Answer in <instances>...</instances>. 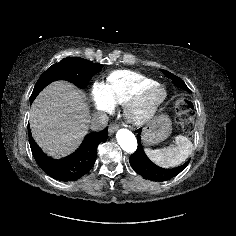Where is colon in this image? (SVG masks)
<instances>
[{
  "label": "colon",
  "mask_w": 236,
  "mask_h": 236,
  "mask_svg": "<svg viewBox=\"0 0 236 236\" xmlns=\"http://www.w3.org/2000/svg\"><path fill=\"white\" fill-rule=\"evenodd\" d=\"M175 111L178 123L187 133H191L193 131L192 103L186 98H180L176 101Z\"/></svg>",
  "instance_id": "1"
}]
</instances>
